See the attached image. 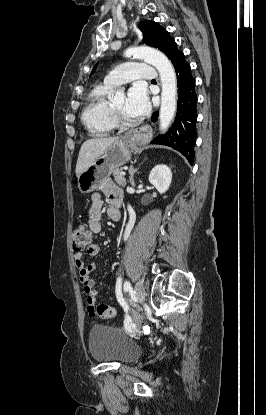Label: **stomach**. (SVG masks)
Instances as JSON below:
<instances>
[{"label":"stomach","instance_id":"0dacf381","mask_svg":"<svg viewBox=\"0 0 266 415\" xmlns=\"http://www.w3.org/2000/svg\"><path fill=\"white\" fill-rule=\"evenodd\" d=\"M131 159L130 140L123 137L112 143L97 160L78 177L82 194L93 192L111 173Z\"/></svg>","mask_w":266,"mask_h":415}]
</instances>
